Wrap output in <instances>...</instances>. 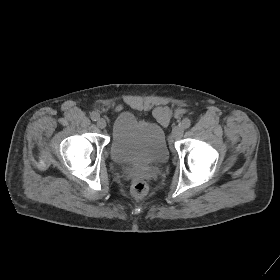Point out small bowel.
Listing matches in <instances>:
<instances>
[{
    "instance_id": "c3829d8e",
    "label": "small bowel",
    "mask_w": 280,
    "mask_h": 280,
    "mask_svg": "<svg viewBox=\"0 0 280 280\" xmlns=\"http://www.w3.org/2000/svg\"><path fill=\"white\" fill-rule=\"evenodd\" d=\"M155 115L163 123H168L172 116V112L168 108H157L155 110Z\"/></svg>"
}]
</instances>
